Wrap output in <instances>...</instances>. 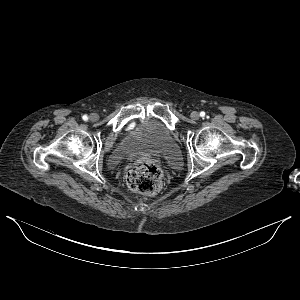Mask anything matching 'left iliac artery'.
<instances>
[{
	"instance_id": "left-iliac-artery-1",
	"label": "left iliac artery",
	"mask_w": 300,
	"mask_h": 300,
	"mask_svg": "<svg viewBox=\"0 0 300 300\" xmlns=\"http://www.w3.org/2000/svg\"><path fill=\"white\" fill-rule=\"evenodd\" d=\"M200 116H201V117H204V116H205V112L202 111V112L200 113Z\"/></svg>"
}]
</instances>
